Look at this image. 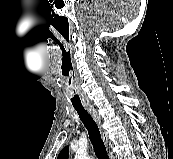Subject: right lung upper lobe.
<instances>
[{"mask_svg":"<svg viewBox=\"0 0 173 159\" xmlns=\"http://www.w3.org/2000/svg\"><path fill=\"white\" fill-rule=\"evenodd\" d=\"M68 156H69V148H68V146H66L61 150L57 159H68Z\"/></svg>","mask_w":173,"mask_h":159,"instance_id":"right-lung-upper-lobe-1","label":"right lung upper lobe"}]
</instances>
